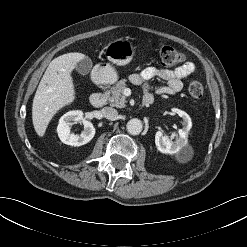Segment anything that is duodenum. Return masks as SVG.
<instances>
[{
  "label": "duodenum",
  "mask_w": 247,
  "mask_h": 247,
  "mask_svg": "<svg viewBox=\"0 0 247 247\" xmlns=\"http://www.w3.org/2000/svg\"><path fill=\"white\" fill-rule=\"evenodd\" d=\"M108 98L107 90H102L100 92L93 93L90 98V104L94 107H102L106 104ZM153 103L152 97H144L142 101L143 106H149Z\"/></svg>",
  "instance_id": "410a0bca"
}]
</instances>
